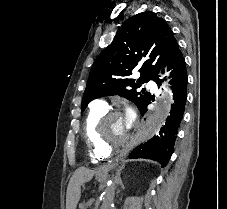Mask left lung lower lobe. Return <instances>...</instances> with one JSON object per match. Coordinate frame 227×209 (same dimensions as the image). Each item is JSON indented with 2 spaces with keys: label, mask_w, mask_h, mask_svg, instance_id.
<instances>
[{
  "label": "left lung lower lobe",
  "mask_w": 227,
  "mask_h": 209,
  "mask_svg": "<svg viewBox=\"0 0 227 209\" xmlns=\"http://www.w3.org/2000/svg\"><path fill=\"white\" fill-rule=\"evenodd\" d=\"M170 70V77H172L170 84L174 93V103L171 107L170 116L167 117L165 125L158 134L145 144L138 146L130 154V158H149L160 162L162 166L166 165L170 159L187 98L186 64L181 51H179L167 71ZM164 80L165 78L161 77L157 84L160 86ZM146 111L147 106L141 111V115L143 116Z\"/></svg>",
  "instance_id": "obj_1"
}]
</instances>
